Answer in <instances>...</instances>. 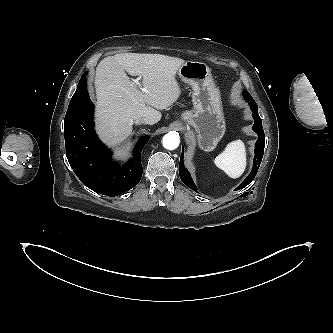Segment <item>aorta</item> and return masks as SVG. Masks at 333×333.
Masks as SVG:
<instances>
[{"label": "aorta", "instance_id": "obj_1", "mask_svg": "<svg viewBox=\"0 0 333 333\" xmlns=\"http://www.w3.org/2000/svg\"><path fill=\"white\" fill-rule=\"evenodd\" d=\"M180 139L177 132H169L163 137V146L168 150H174L179 146Z\"/></svg>", "mask_w": 333, "mask_h": 333}]
</instances>
